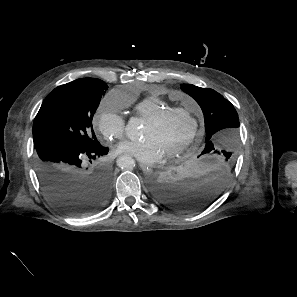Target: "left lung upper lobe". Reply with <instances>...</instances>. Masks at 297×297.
Masks as SVG:
<instances>
[{
    "instance_id": "5c2ea615",
    "label": "left lung upper lobe",
    "mask_w": 297,
    "mask_h": 297,
    "mask_svg": "<svg viewBox=\"0 0 297 297\" xmlns=\"http://www.w3.org/2000/svg\"><path fill=\"white\" fill-rule=\"evenodd\" d=\"M181 89L196 100L204 114L206 138L201 154L216 155L234 162L239 118L233 105L212 89L191 84H182Z\"/></svg>"
}]
</instances>
